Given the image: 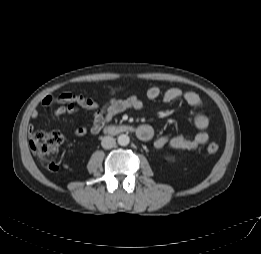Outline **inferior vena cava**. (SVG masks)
<instances>
[{
    "label": "inferior vena cava",
    "instance_id": "inferior-vena-cava-1",
    "mask_svg": "<svg viewBox=\"0 0 261 254\" xmlns=\"http://www.w3.org/2000/svg\"><path fill=\"white\" fill-rule=\"evenodd\" d=\"M116 140L111 136H105L102 138L101 145L104 149H111L115 146Z\"/></svg>",
    "mask_w": 261,
    "mask_h": 254
}]
</instances>
